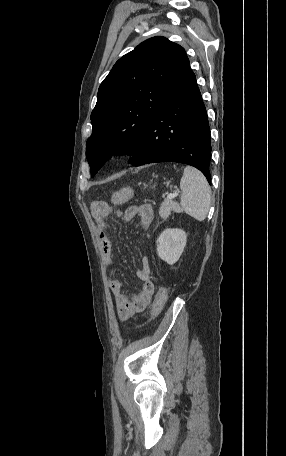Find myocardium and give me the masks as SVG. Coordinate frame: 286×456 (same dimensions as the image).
<instances>
[{"label":"myocardium","mask_w":286,"mask_h":456,"mask_svg":"<svg viewBox=\"0 0 286 456\" xmlns=\"http://www.w3.org/2000/svg\"><path fill=\"white\" fill-rule=\"evenodd\" d=\"M124 146L122 144L114 145L111 149V156L114 159L120 158L123 154Z\"/></svg>","instance_id":"1"}]
</instances>
